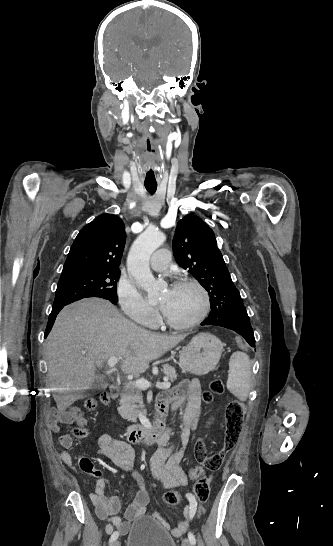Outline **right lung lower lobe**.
I'll use <instances>...</instances> for the list:
<instances>
[{
	"label": "right lung lower lobe",
	"instance_id": "98d812e1",
	"mask_svg": "<svg viewBox=\"0 0 333 546\" xmlns=\"http://www.w3.org/2000/svg\"><path fill=\"white\" fill-rule=\"evenodd\" d=\"M113 304H116L117 302H114V301H111ZM65 305H61V306H56V307H53L52 308V311L49 315V320H48V324H47V328H46V331H45V338L47 337L48 333L50 332L53 324H54V321H55V318L57 316V314L60 312V310L64 307Z\"/></svg>",
	"mask_w": 333,
	"mask_h": 546
}]
</instances>
